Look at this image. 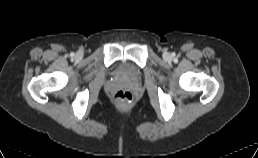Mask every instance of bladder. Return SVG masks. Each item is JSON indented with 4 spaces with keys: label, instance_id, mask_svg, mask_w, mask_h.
I'll return each instance as SVG.
<instances>
[{
    "label": "bladder",
    "instance_id": "obj_1",
    "mask_svg": "<svg viewBox=\"0 0 258 158\" xmlns=\"http://www.w3.org/2000/svg\"><path fill=\"white\" fill-rule=\"evenodd\" d=\"M117 72L119 75L128 76V77H131L137 74L136 68L132 64L127 62L120 63L118 66Z\"/></svg>",
    "mask_w": 258,
    "mask_h": 158
}]
</instances>
